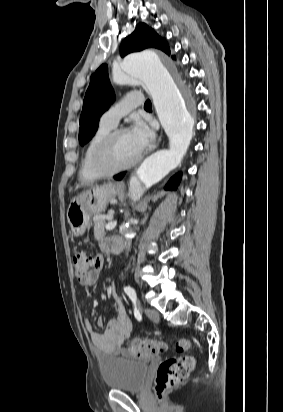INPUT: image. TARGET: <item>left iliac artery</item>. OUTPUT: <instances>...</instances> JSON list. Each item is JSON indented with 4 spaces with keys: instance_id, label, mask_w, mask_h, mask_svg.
I'll return each instance as SVG.
<instances>
[{
    "instance_id": "obj_1",
    "label": "left iliac artery",
    "mask_w": 283,
    "mask_h": 412,
    "mask_svg": "<svg viewBox=\"0 0 283 412\" xmlns=\"http://www.w3.org/2000/svg\"><path fill=\"white\" fill-rule=\"evenodd\" d=\"M124 291L133 303L135 318L138 321H141L142 317H141V314H140V311H139V308H138V301H137V296H136L135 290L130 286H125Z\"/></svg>"
}]
</instances>
